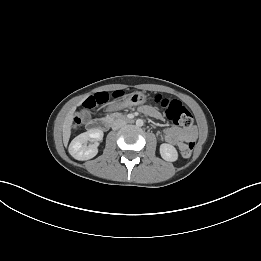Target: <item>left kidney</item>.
Wrapping results in <instances>:
<instances>
[{
  "instance_id": "obj_1",
  "label": "left kidney",
  "mask_w": 261,
  "mask_h": 261,
  "mask_svg": "<svg viewBox=\"0 0 261 261\" xmlns=\"http://www.w3.org/2000/svg\"><path fill=\"white\" fill-rule=\"evenodd\" d=\"M160 154L166 161L174 162L178 159V152L175 147L167 143L160 145Z\"/></svg>"
}]
</instances>
